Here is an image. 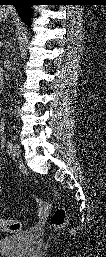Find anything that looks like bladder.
I'll use <instances>...</instances> for the list:
<instances>
[{
    "label": "bladder",
    "instance_id": "1",
    "mask_svg": "<svg viewBox=\"0 0 106 257\" xmlns=\"http://www.w3.org/2000/svg\"><path fill=\"white\" fill-rule=\"evenodd\" d=\"M34 242L31 231H21L0 240V253L5 257H23L28 253Z\"/></svg>",
    "mask_w": 106,
    "mask_h": 257
}]
</instances>
